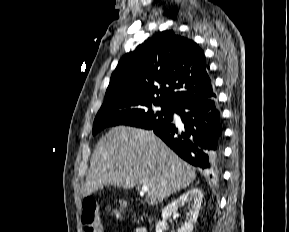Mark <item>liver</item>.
Instances as JSON below:
<instances>
[{
    "mask_svg": "<svg viewBox=\"0 0 289 232\" xmlns=\"http://www.w3.org/2000/svg\"><path fill=\"white\" fill-rule=\"evenodd\" d=\"M195 178V169L153 132L119 126L97 143L81 192L87 197L107 185L124 189L147 185L145 200L157 205Z\"/></svg>",
    "mask_w": 289,
    "mask_h": 232,
    "instance_id": "1",
    "label": "liver"
}]
</instances>
